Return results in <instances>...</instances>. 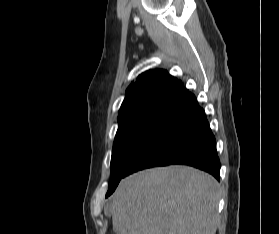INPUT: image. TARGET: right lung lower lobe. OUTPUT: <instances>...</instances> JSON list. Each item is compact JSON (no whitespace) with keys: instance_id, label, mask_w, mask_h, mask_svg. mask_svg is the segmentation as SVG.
Wrapping results in <instances>:
<instances>
[{"instance_id":"right-lung-lower-lobe-1","label":"right lung lower lobe","mask_w":279,"mask_h":234,"mask_svg":"<svg viewBox=\"0 0 279 234\" xmlns=\"http://www.w3.org/2000/svg\"><path fill=\"white\" fill-rule=\"evenodd\" d=\"M172 164L196 167L220 178L216 141L192 93L171 107L129 162L125 176Z\"/></svg>"}]
</instances>
